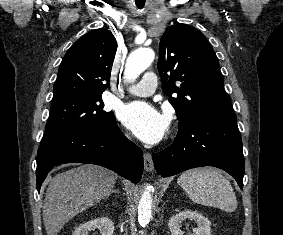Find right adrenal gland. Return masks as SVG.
Masks as SVG:
<instances>
[{
	"label": "right adrenal gland",
	"instance_id": "obj_1",
	"mask_svg": "<svg viewBox=\"0 0 283 235\" xmlns=\"http://www.w3.org/2000/svg\"><path fill=\"white\" fill-rule=\"evenodd\" d=\"M111 193H115V194H118L119 193V190L118 189H114L111 191ZM110 196V195H109Z\"/></svg>",
	"mask_w": 283,
	"mask_h": 235
}]
</instances>
